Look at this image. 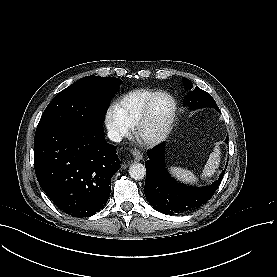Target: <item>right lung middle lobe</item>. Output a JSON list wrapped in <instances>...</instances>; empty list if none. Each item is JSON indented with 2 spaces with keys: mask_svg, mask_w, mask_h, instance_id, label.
<instances>
[{
  "mask_svg": "<svg viewBox=\"0 0 277 277\" xmlns=\"http://www.w3.org/2000/svg\"><path fill=\"white\" fill-rule=\"evenodd\" d=\"M122 81L86 76L58 93L44 110L37 130L56 125L103 123L112 96Z\"/></svg>",
  "mask_w": 277,
  "mask_h": 277,
  "instance_id": "right-lung-middle-lobe-1",
  "label": "right lung middle lobe"
}]
</instances>
